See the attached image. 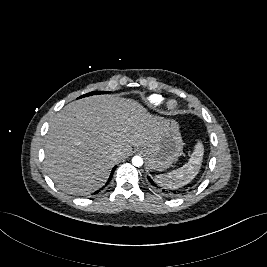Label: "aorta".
<instances>
[{
	"mask_svg": "<svg viewBox=\"0 0 267 267\" xmlns=\"http://www.w3.org/2000/svg\"><path fill=\"white\" fill-rule=\"evenodd\" d=\"M132 164L136 167H140L143 165V159L140 156H134L132 158Z\"/></svg>",
	"mask_w": 267,
	"mask_h": 267,
	"instance_id": "762f6f07",
	"label": "aorta"
}]
</instances>
